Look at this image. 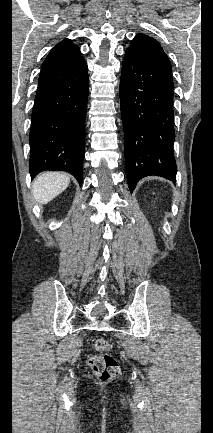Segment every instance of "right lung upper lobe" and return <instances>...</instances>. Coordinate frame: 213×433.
<instances>
[{"instance_id": "1", "label": "right lung upper lobe", "mask_w": 213, "mask_h": 433, "mask_svg": "<svg viewBox=\"0 0 213 433\" xmlns=\"http://www.w3.org/2000/svg\"><path fill=\"white\" fill-rule=\"evenodd\" d=\"M80 58H82L80 48L73 44L70 39H64L49 52L42 67L56 63L71 62Z\"/></svg>"}]
</instances>
